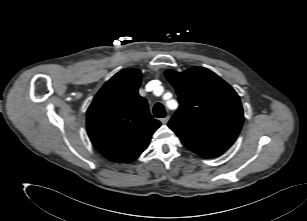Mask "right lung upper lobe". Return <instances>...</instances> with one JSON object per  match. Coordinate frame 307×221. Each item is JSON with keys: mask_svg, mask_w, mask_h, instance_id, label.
Segmentation results:
<instances>
[{"mask_svg": "<svg viewBox=\"0 0 307 221\" xmlns=\"http://www.w3.org/2000/svg\"><path fill=\"white\" fill-rule=\"evenodd\" d=\"M140 83V70L118 72L100 89L87 111L90 140L112 162L134 161L161 125L138 94Z\"/></svg>", "mask_w": 307, "mask_h": 221, "instance_id": "1", "label": "right lung upper lobe"}]
</instances>
